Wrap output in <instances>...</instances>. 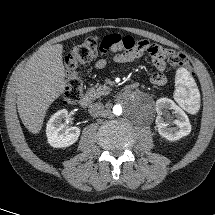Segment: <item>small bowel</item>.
I'll list each match as a JSON object with an SVG mask.
<instances>
[{
	"instance_id": "1",
	"label": "small bowel",
	"mask_w": 215,
	"mask_h": 215,
	"mask_svg": "<svg viewBox=\"0 0 215 215\" xmlns=\"http://www.w3.org/2000/svg\"><path fill=\"white\" fill-rule=\"evenodd\" d=\"M101 57L95 62L94 69L101 70L108 64L105 57L107 51L113 54V61L119 64L129 63L144 54H149L156 72L151 76V83L156 86H163L167 82L165 76L166 55L163 47L150 43L147 40H134L130 36L119 34L106 35L102 40Z\"/></svg>"
}]
</instances>
